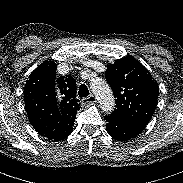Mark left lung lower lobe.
<instances>
[{"label":"left lung lower lobe","instance_id":"1","mask_svg":"<svg viewBox=\"0 0 183 183\" xmlns=\"http://www.w3.org/2000/svg\"><path fill=\"white\" fill-rule=\"evenodd\" d=\"M105 119L107 121V132L118 141H126L134 138L145 128L143 125L130 123L112 116H106Z\"/></svg>","mask_w":183,"mask_h":183}]
</instances>
